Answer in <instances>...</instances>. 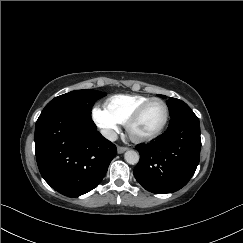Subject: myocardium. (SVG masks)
I'll return each mask as SVG.
<instances>
[{
    "mask_svg": "<svg viewBox=\"0 0 243 243\" xmlns=\"http://www.w3.org/2000/svg\"><path fill=\"white\" fill-rule=\"evenodd\" d=\"M155 102H161L165 107V118H164L162 125L160 126V128L157 131H155L154 133H152L148 136H144V137L135 136L131 130L132 126L141 118V116L144 113V111L146 110V108ZM169 118H170V108H169L168 103L162 98H151L150 100H148L145 103H143L142 105H140L129 116V118L127 119V121L125 123L126 131L132 141H134L136 143H146V142L156 139L164 132V130L166 129L167 124L169 122Z\"/></svg>",
    "mask_w": 243,
    "mask_h": 243,
    "instance_id": "1",
    "label": "myocardium"
}]
</instances>
